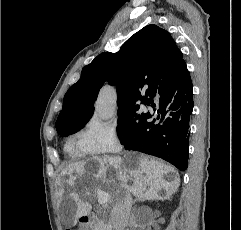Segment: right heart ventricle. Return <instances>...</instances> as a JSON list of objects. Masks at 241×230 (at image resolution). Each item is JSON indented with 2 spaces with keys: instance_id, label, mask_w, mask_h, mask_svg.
Here are the masks:
<instances>
[{
  "instance_id": "obj_1",
  "label": "right heart ventricle",
  "mask_w": 241,
  "mask_h": 230,
  "mask_svg": "<svg viewBox=\"0 0 241 230\" xmlns=\"http://www.w3.org/2000/svg\"><path fill=\"white\" fill-rule=\"evenodd\" d=\"M65 150L73 158H79L88 154L83 148L80 140L78 142L69 141L65 146Z\"/></svg>"
}]
</instances>
